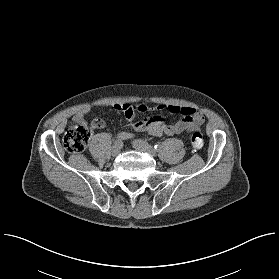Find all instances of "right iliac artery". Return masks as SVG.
<instances>
[{"instance_id": "1", "label": "right iliac artery", "mask_w": 279, "mask_h": 279, "mask_svg": "<svg viewBox=\"0 0 279 279\" xmlns=\"http://www.w3.org/2000/svg\"><path fill=\"white\" fill-rule=\"evenodd\" d=\"M114 144L121 147L122 146V141L120 139H116L114 141Z\"/></svg>"}]
</instances>
